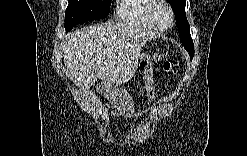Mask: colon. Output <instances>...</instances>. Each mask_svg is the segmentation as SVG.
Segmentation results:
<instances>
[{
	"instance_id": "obj_1",
	"label": "colon",
	"mask_w": 247,
	"mask_h": 156,
	"mask_svg": "<svg viewBox=\"0 0 247 156\" xmlns=\"http://www.w3.org/2000/svg\"><path fill=\"white\" fill-rule=\"evenodd\" d=\"M176 62H166L163 65V70L167 74H174L176 71Z\"/></svg>"
}]
</instances>
